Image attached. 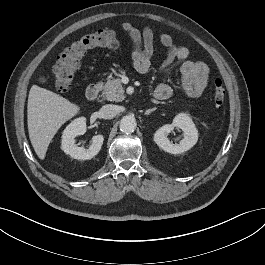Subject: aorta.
Returning <instances> with one entry per match:
<instances>
[{
  "instance_id": "aorta-1",
  "label": "aorta",
  "mask_w": 265,
  "mask_h": 265,
  "mask_svg": "<svg viewBox=\"0 0 265 265\" xmlns=\"http://www.w3.org/2000/svg\"><path fill=\"white\" fill-rule=\"evenodd\" d=\"M120 131L126 134L132 133L136 128V120L133 116H124L119 125Z\"/></svg>"
}]
</instances>
